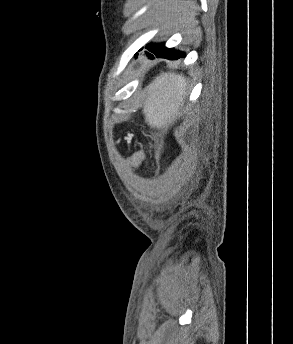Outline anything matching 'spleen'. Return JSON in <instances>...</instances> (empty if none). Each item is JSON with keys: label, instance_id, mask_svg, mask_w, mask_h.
Masks as SVG:
<instances>
[{"label": "spleen", "instance_id": "spleen-1", "mask_svg": "<svg viewBox=\"0 0 293 344\" xmlns=\"http://www.w3.org/2000/svg\"><path fill=\"white\" fill-rule=\"evenodd\" d=\"M186 82L182 75L162 73L148 87L143 113L151 127L162 129L176 118L185 95Z\"/></svg>", "mask_w": 293, "mask_h": 344}]
</instances>
